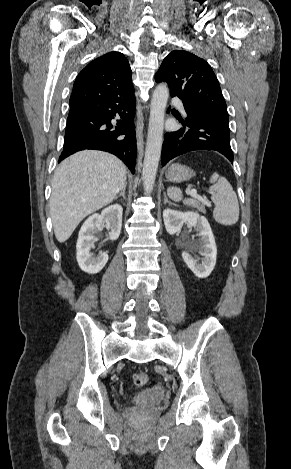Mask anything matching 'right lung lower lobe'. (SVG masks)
<instances>
[{
  "mask_svg": "<svg viewBox=\"0 0 291 469\" xmlns=\"http://www.w3.org/2000/svg\"><path fill=\"white\" fill-rule=\"evenodd\" d=\"M135 97L110 94L70 107L59 162L84 149L102 150L119 157L134 173L136 138Z\"/></svg>",
  "mask_w": 291,
  "mask_h": 469,
  "instance_id": "98d812e1",
  "label": "right lung lower lobe"
}]
</instances>
